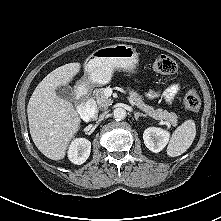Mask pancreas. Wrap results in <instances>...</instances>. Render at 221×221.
<instances>
[{"mask_svg":"<svg viewBox=\"0 0 221 221\" xmlns=\"http://www.w3.org/2000/svg\"><path fill=\"white\" fill-rule=\"evenodd\" d=\"M105 89L106 88H99L94 90V98L96 99L99 108L104 110H106L112 104V100L105 95ZM127 91L133 100L134 105L145 112L147 116H150L156 120H166L173 126L177 125L178 117L175 113H170L163 109H154L152 106H149L144 102L143 96L140 95L136 90L128 88Z\"/></svg>","mask_w":221,"mask_h":221,"instance_id":"obj_1","label":"pancreas"}]
</instances>
